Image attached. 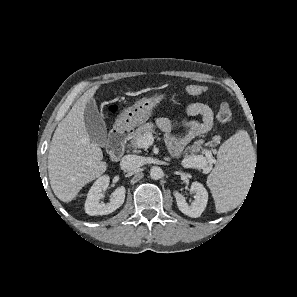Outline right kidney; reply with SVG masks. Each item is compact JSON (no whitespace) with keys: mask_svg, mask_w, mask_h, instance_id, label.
<instances>
[{"mask_svg":"<svg viewBox=\"0 0 297 297\" xmlns=\"http://www.w3.org/2000/svg\"><path fill=\"white\" fill-rule=\"evenodd\" d=\"M110 178L104 175L98 178L90 188L85 202V212L90 216L107 215L118 209L125 200L126 189L120 186L111 194L110 202L100 203L103 198V191L108 188Z\"/></svg>","mask_w":297,"mask_h":297,"instance_id":"right-kidney-1","label":"right kidney"}]
</instances>
